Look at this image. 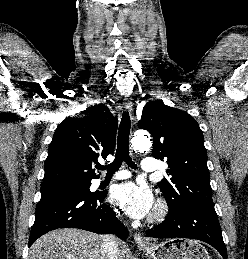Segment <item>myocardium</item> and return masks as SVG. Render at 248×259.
<instances>
[{
  "label": "myocardium",
  "instance_id": "obj_1",
  "mask_svg": "<svg viewBox=\"0 0 248 259\" xmlns=\"http://www.w3.org/2000/svg\"><path fill=\"white\" fill-rule=\"evenodd\" d=\"M168 211L169 207L167 202L164 199H158L149 215V221L154 223L163 220L168 214Z\"/></svg>",
  "mask_w": 248,
  "mask_h": 259
}]
</instances>
